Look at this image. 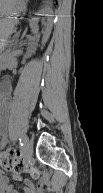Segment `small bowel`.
<instances>
[{
    "label": "small bowel",
    "mask_w": 103,
    "mask_h": 193,
    "mask_svg": "<svg viewBox=\"0 0 103 193\" xmlns=\"http://www.w3.org/2000/svg\"><path fill=\"white\" fill-rule=\"evenodd\" d=\"M10 104V98H4V107H5V114L7 113V107ZM0 134H1V147H4L8 143V132H7V125L5 118L2 119L0 125ZM15 180L23 181V186L21 187L24 193H46L47 186L49 181L46 179L41 180L37 185L34 184L29 179H22L20 176L16 175ZM0 186L3 193H19L16 186L11 184L9 181V177L1 173L0 174Z\"/></svg>",
    "instance_id": "obj_1"
}]
</instances>
